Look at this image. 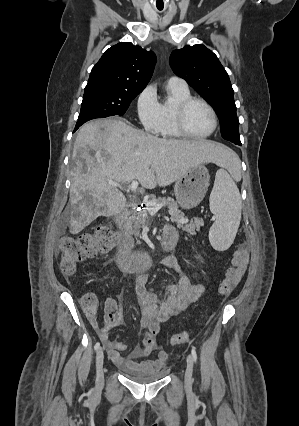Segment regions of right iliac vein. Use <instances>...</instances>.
<instances>
[{
    "instance_id": "obj_1",
    "label": "right iliac vein",
    "mask_w": 299,
    "mask_h": 426,
    "mask_svg": "<svg viewBox=\"0 0 299 426\" xmlns=\"http://www.w3.org/2000/svg\"><path fill=\"white\" fill-rule=\"evenodd\" d=\"M103 362H104L103 349L99 348L96 354V377H97L98 385H102L104 381Z\"/></svg>"
}]
</instances>
